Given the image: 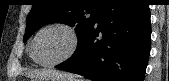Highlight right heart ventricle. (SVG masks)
Here are the masks:
<instances>
[{
    "label": "right heart ventricle",
    "mask_w": 169,
    "mask_h": 81,
    "mask_svg": "<svg viewBox=\"0 0 169 81\" xmlns=\"http://www.w3.org/2000/svg\"><path fill=\"white\" fill-rule=\"evenodd\" d=\"M29 58H30V61H32V62L34 61L32 56H31V52L29 53Z\"/></svg>",
    "instance_id": "e07e8e85"
}]
</instances>
